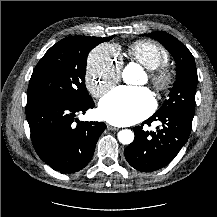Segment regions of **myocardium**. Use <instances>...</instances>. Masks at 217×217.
Here are the masks:
<instances>
[{
    "mask_svg": "<svg viewBox=\"0 0 217 217\" xmlns=\"http://www.w3.org/2000/svg\"><path fill=\"white\" fill-rule=\"evenodd\" d=\"M149 80L156 91L163 93L172 87L174 75L166 65H163L149 72Z\"/></svg>",
    "mask_w": 217,
    "mask_h": 217,
    "instance_id": "obj_1",
    "label": "myocardium"
}]
</instances>
